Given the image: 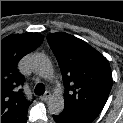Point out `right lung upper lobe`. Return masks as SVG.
Listing matches in <instances>:
<instances>
[{
    "instance_id": "cb5924a9",
    "label": "right lung upper lobe",
    "mask_w": 123,
    "mask_h": 123,
    "mask_svg": "<svg viewBox=\"0 0 123 123\" xmlns=\"http://www.w3.org/2000/svg\"><path fill=\"white\" fill-rule=\"evenodd\" d=\"M39 33L12 34L1 40V123H26L29 102L22 92L17 63L40 46Z\"/></svg>"
}]
</instances>
